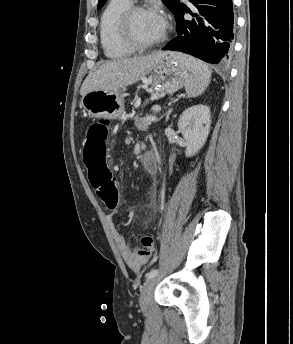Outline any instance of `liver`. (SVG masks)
<instances>
[{
	"label": "liver",
	"instance_id": "liver-1",
	"mask_svg": "<svg viewBox=\"0 0 293 344\" xmlns=\"http://www.w3.org/2000/svg\"><path fill=\"white\" fill-rule=\"evenodd\" d=\"M167 52H156L145 56L117 59L102 64L90 73L82 84L80 94L91 91H116L141 80Z\"/></svg>",
	"mask_w": 293,
	"mask_h": 344
}]
</instances>
